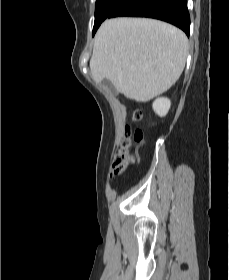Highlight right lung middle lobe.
I'll list each match as a JSON object with an SVG mask.
<instances>
[{"label":"right lung middle lobe","instance_id":"right-lung-middle-lobe-1","mask_svg":"<svg viewBox=\"0 0 229 280\" xmlns=\"http://www.w3.org/2000/svg\"><path fill=\"white\" fill-rule=\"evenodd\" d=\"M116 0H97L95 9V23L93 27V35L98 29L102 21L106 18L111 6Z\"/></svg>","mask_w":229,"mask_h":280}]
</instances>
